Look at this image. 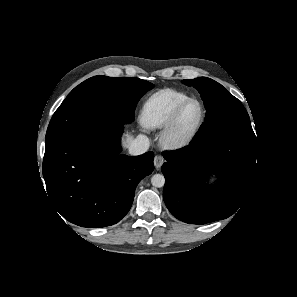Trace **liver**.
<instances>
[{"mask_svg": "<svg viewBox=\"0 0 297 297\" xmlns=\"http://www.w3.org/2000/svg\"><path fill=\"white\" fill-rule=\"evenodd\" d=\"M133 140H134V139H133V135L127 133V134L125 135V139H124V146H125V147H128V146L130 145V143H131Z\"/></svg>", "mask_w": 297, "mask_h": 297, "instance_id": "1", "label": "liver"}]
</instances>
